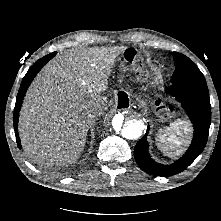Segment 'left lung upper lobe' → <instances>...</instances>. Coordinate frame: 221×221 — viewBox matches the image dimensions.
<instances>
[{"label":"left lung upper lobe","instance_id":"obj_1","mask_svg":"<svg viewBox=\"0 0 221 221\" xmlns=\"http://www.w3.org/2000/svg\"><path fill=\"white\" fill-rule=\"evenodd\" d=\"M172 55L175 62V71L171 82L204 78V75L199 68L188 57L178 52H172Z\"/></svg>","mask_w":221,"mask_h":221}]
</instances>
